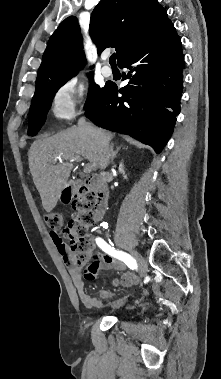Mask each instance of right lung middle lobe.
I'll return each mask as SVG.
<instances>
[{
    "label": "right lung middle lobe",
    "mask_w": 221,
    "mask_h": 379,
    "mask_svg": "<svg viewBox=\"0 0 221 379\" xmlns=\"http://www.w3.org/2000/svg\"><path fill=\"white\" fill-rule=\"evenodd\" d=\"M90 76H92V73L90 74ZM69 79L70 78L58 80L46 87H43L40 90L35 91L32 100V105L30 107L28 135H36L37 132L40 130L46 119V115L51 106L54 95L56 94L58 89L62 85H64ZM104 88L105 86L103 88H100L95 83L90 84L85 109L89 108L98 99Z\"/></svg>",
    "instance_id": "obj_1"
}]
</instances>
